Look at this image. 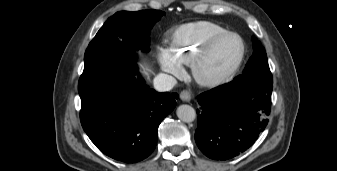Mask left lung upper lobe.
Returning a JSON list of instances; mask_svg holds the SVG:
<instances>
[{"instance_id":"5c2ea615","label":"left lung upper lobe","mask_w":337,"mask_h":171,"mask_svg":"<svg viewBox=\"0 0 337 171\" xmlns=\"http://www.w3.org/2000/svg\"><path fill=\"white\" fill-rule=\"evenodd\" d=\"M253 48V55L246 64L243 73L237 76L234 80L242 78H261L264 80H272V74L268 66L265 49L257 38H253Z\"/></svg>"}]
</instances>
